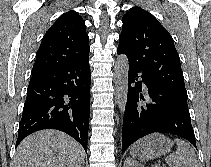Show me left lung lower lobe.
<instances>
[{"label": "left lung lower lobe", "mask_w": 211, "mask_h": 167, "mask_svg": "<svg viewBox=\"0 0 211 167\" xmlns=\"http://www.w3.org/2000/svg\"><path fill=\"white\" fill-rule=\"evenodd\" d=\"M117 53H122L119 48ZM143 85L146 91H143ZM154 132L178 135L196 147L187 96L157 83L139 67L129 63L122 152L139 138Z\"/></svg>", "instance_id": "left-lung-lower-lobe-1"}]
</instances>
